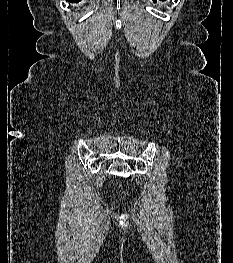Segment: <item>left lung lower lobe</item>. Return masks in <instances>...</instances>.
Segmentation results:
<instances>
[{
  "label": "left lung lower lobe",
  "instance_id": "left-lung-lower-lobe-1",
  "mask_svg": "<svg viewBox=\"0 0 233 263\" xmlns=\"http://www.w3.org/2000/svg\"><path fill=\"white\" fill-rule=\"evenodd\" d=\"M157 0H153V2H156ZM163 1H165V0H163Z\"/></svg>",
  "mask_w": 233,
  "mask_h": 263
}]
</instances>
